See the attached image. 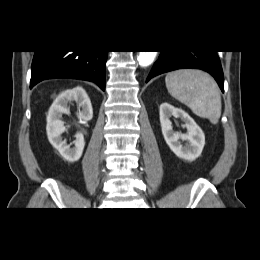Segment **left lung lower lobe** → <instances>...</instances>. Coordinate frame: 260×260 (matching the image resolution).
<instances>
[{
  "label": "left lung lower lobe",
  "mask_w": 260,
  "mask_h": 260,
  "mask_svg": "<svg viewBox=\"0 0 260 260\" xmlns=\"http://www.w3.org/2000/svg\"><path fill=\"white\" fill-rule=\"evenodd\" d=\"M194 68L210 73L217 81L222 92L224 91V77L220 59L213 50L186 51L171 50L161 51L158 60L153 65L146 82L165 72L176 69Z\"/></svg>",
  "instance_id": "0a47b994"
}]
</instances>
